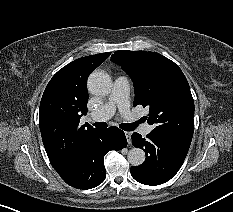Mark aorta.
<instances>
[{"label": "aorta", "mask_w": 233, "mask_h": 212, "mask_svg": "<svg viewBox=\"0 0 233 212\" xmlns=\"http://www.w3.org/2000/svg\"><path fill=\"white\" fill-rule=\"evenodd\" d=\"M87 86L92 94L106 96L111 92L112 83L108 74L96 71L90 74ZM127 159L132 166H139L145 161V153L142 149L133 147L129 150Z\"/></svg>", "instance_id": "obj_1"}]
</instances>
